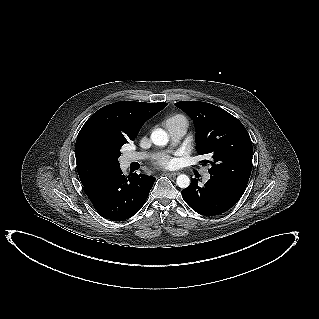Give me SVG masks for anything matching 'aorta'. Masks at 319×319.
I'll return each instance as SVG.
<instances>
[{
  "mask_svg": "<svg viewBox=\"0 0 319 319\" xmlns=\"http://www.w3.org/2000/svg\"><path fill=\"white\" fill-rule=\"evenodd\" d=\"M150 138L157 146H165L169 141L168 134L161 128L155 129ZM176 184L180 188H187L190 185V178L185 174H181L177 177Z\"/></svg>",
  "mask_w": 319,
  "mask_h": 319,
  "instance_id": "obj_1",
  "label": "aorta"
}]
</instances>
